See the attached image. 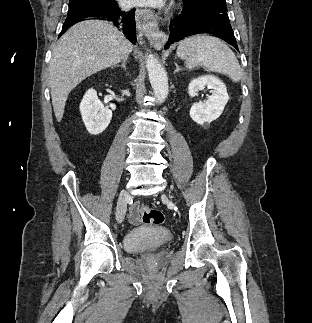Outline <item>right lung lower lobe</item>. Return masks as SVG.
Segmentation results:
<instances>
[{
    "label": "right lung lower lobe",
    "instance_id": "obj_1",
    "mask_svg": "<svg viewBox=\"0 0 312 323\" xmlns=\"http://www.w3.org/2000/svg\"><path fill=\"white\" fill-rule=\"evenodd\" d=\"M93 17L94 19L107 20L127 35L133 42L136 40L134 11H121L116 2L105 3L99 6L75 9L68 12V17L63 24L60 36L73 24Z\"/></svg>",
    "mask_w": 312,
    "mask_h": 323
}]
</instances>
